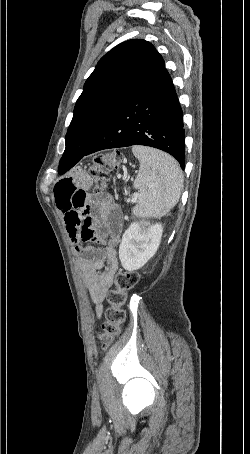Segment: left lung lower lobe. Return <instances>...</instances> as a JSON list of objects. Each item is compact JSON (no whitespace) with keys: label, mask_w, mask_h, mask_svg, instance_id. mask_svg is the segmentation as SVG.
Returning <instances> with one entry per match:
<instances>
[{"label":"left lung lower lobe","mask_w":250,"mask_h":454,"mask_svg":"<svg viewBox=\"0 0 250 454\" xmlns=\"http://www.w3.org/2000/svg\"><path fill=\"white\" fill-rule=\"evenodd\" d=\"M131 145L163 150L185 167L183 113L165 68L112 115L83 155L63 154L58 173L64 174L91 153Z\"/></svg>","instance_id":"left-lung-lower-lobe-1"}]
</instances>
